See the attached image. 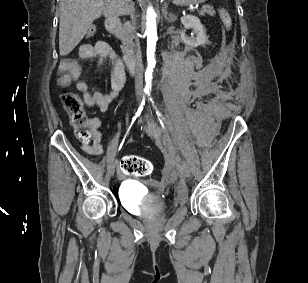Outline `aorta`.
Returning a JSON list of instances; mask_svg holds the SVG:
<instances>
[{
    "label": "aorta",
    "mask_w": 308,
    "mask_h": 283,
    "mask_svg": "<svg viewBox=\"0 0 308 283\" xmlns=\"http://www.w3.org/2000/svg\"><path fill=\"white\" fill-rule=\"evenodd\" d=\"M147 35V69L145 72V80L147 86L151 84L153 71L156 64L154 54L157 41L156 13L152 7L147 9L146 15V31Z\"/></svg>",
    "instance_id": "aorta-1"
}]
</instances>
